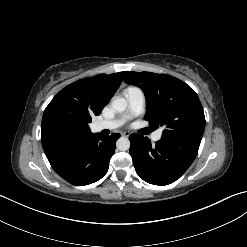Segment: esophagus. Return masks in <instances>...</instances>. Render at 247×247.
<instances>
[{"instance_id":"34e87169","label":"esophagus","mask_w":247,"mask_h":247,"mask_svg":"<svg viewBox=\"0 0 247 247\" xmlns=\"http://www.w3.org/2000/svg\"><path fill=\"white\" fill-rule=\"evenodd\" d=\"M121 135L124 137H129L131 135V133L129 131H124L121 133Z\"/></svg>"}]
</instances>
